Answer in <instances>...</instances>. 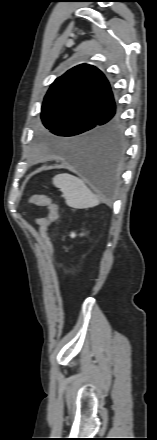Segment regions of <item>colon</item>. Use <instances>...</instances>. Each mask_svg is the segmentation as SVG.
<instances>
[{"label": "colon", "mask_w": 157, "mask_h": 440, "mask_svg": "<svg viewBox=\"0 0 157 440\" xmlns=\"http://www.w3.org/2000/svg\"><path fill=\"white\" fill-rule=\"evenodd\" d=\"M30 202L36 206L47 207L49 209V222H54L58 218V207L49 197L41 194H35L30 198ZM47 231L48 225L41 226L45 250L51 260L54 262L52 241Z\"/></svg>", "instance_id": "5ec220e1"}]
</instances>
